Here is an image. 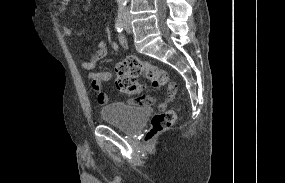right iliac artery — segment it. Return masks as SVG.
Here are the masks:
<instances>
[{"mask_svg": "<svg viewBox=\"0 0 285 183\" xmlns=\"http://www.w3.org/2000/svg\"><path fill=\"white\" fill-rule=\"evenodd\" d=\"M123 27H124V20H123L122 13L120 12L118 14V18L115 23V28L118 32H121L123 30Z\"/></svg>", "mask_w": 285, "mask_h": 183, "instance_id": "1", "label": "right iliac artery"}]
</instances>
